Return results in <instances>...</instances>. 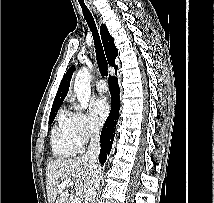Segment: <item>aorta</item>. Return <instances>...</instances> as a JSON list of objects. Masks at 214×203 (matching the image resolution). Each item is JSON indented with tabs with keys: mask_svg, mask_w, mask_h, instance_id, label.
Returning <instances> with one entry per match:
<instances>
[{
	"mask_svg": "<svg viewBox=\"0 0 214 203\" xmlns=\"http://www.w3.org/2000/svg\"><path fill=\"white\" fill-rule=\"evenodd\" d=\"M91 74L87 68L82 67L76 74L74 82V92L81 105V109H86L91 95Z\"/></svg>",
	"mask_w": 214,
	"mask_h": 203,
	"instance_id": "762f6f07",
	"label": "aorta"
}]
</instances>
